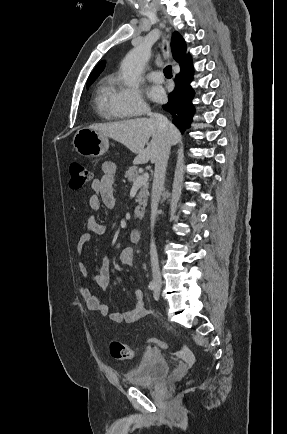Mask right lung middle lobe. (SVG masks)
<instances>
[{"instance_id": "dd1d6c3e", "label": "right lung middle lobe", "mask_w": 287, "mask_h": 434, "mask_svg": "<svg viewBox=\"0 0 287 434\" xmlns=\"http://www.w3.org/2000/svg\"><path fill=\"white\" fill-rule=\"evenodd\" d=\"M92 83H93V81L92 82H87V87H89Z\"/></svg>"}]
</instances>
